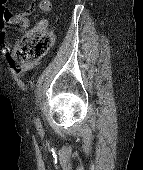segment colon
I'll return each mask as SVG.
<instances>
[{
	"label": "colon",
	"instance_id": "1",
	"mask_svg": "<svg viewBox=\"0 0 143 170\" xmlns=\"http://www.w3.org/2000/svg\"><path fill=\"white\" fill-rule=\"evenodd\" d=\"M40 7L47 11L51 5L48 0H43ZM13 15L8 7V0H0V21H8ZM53 40V33L43 24H40L24 33L18 55L23 62L38 60L50 51Z\"/></svg>",
	"mask_w": 143,
	"mask_h": 170
}]
</instances>
